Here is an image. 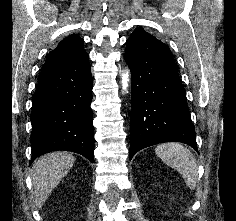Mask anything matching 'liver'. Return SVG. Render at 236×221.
I'll use <instances>...</instances> for the list:
<instances>
[{
  "label": "liver",
  "mask_w": 236,
  "mask_h": 221,
  "mask_svg": "<svg viewBox=\"0 0 236 221\" xmlns=\"http://www.w3.org/2000/svg\"><path fill=\"white\" fill-rule=\"evenodd\" d=\"M68 152H51L37 159L32 167L35 204L41 208L52 190L60 183L75 163Z\"/></svg>",
  "instance_id": "obj_1"
}]
</instances>
